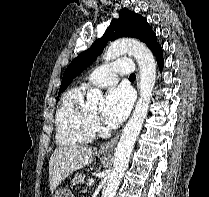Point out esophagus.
I'll return each instance as SVG.
<instances>
[{"label":"esophagus","instance_id":"esophagus-1","mask_svg":"<svg viewBox=\"0 0 209 197\" xmlns=\"http://www.w3.org/2000/svg\"><path fill=\"white\" fill-rule=\"evenodd\" d=\"M136 89L139 92V74L138 73H137V79H136ZM118 139H119V134L114 136L110 141L101 144L98 147V151L100 153H105V154L110 153L113 150V148L116 146Z\"/></svg>","mask_w":209,"mask_h":197}]
</instances>
